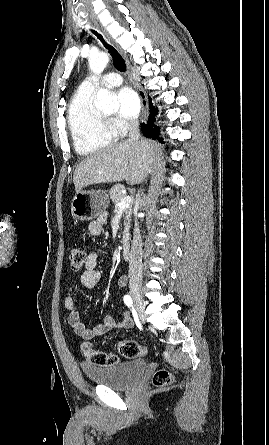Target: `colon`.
Listing matches in <instances>:
<instances>
[{"label": "colon", "instance_id": "5ec220e1", "mask_svg": "<svg viewBox=\"0 0 269 445\" xmlns=\"http://www.w3.org/2000/svg\"><path fill=\"white\" fill-rule=\"evenodd\" d=\"M68 256L70 267L73 271H80L84 267L86 256L80 248H71ZM117 350L120 356L127 359L138 358L146 353V348L134 340L120 341L117 345ZM81 352L90 363L98 366H112L119 362L118 355L94 350L89 343H83L81 345ZM171 381L172 375L165 369L157 370L152 377V383L156 387L166 386L170 384Z\"/></svg>", "mask_w": 269, "mask_h": 445}]
</instances>
